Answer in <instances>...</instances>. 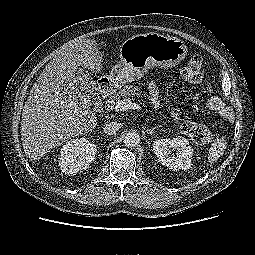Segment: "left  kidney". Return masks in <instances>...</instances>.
Returning <instances> with one entry per match:
<instances>
[{
    "mask_svg": "<svg viewBox=\"0 0 255 255\" xmlns=\"http://www.w3.org/2000/svg\"><path fill=\"white\" fill-rule=\"evenodd\" d=\"M153 150L159 162L173 171L191 168L193 149L184 138L158 139Z\"/></svg>",
    "mask_w": 255,
    "mask_h": 255,
    "instance_id": "1",
    "label": "left kidney"
}]
</instances>
